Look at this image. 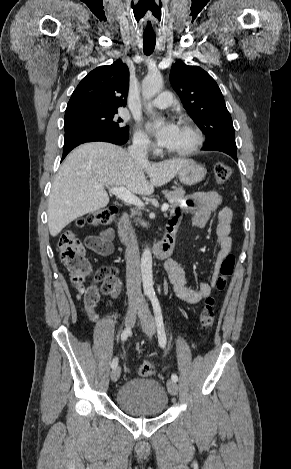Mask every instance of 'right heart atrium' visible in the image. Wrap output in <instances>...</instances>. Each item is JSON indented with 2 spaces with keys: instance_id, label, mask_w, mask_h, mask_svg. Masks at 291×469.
I'll list each match as a JSON object with an SVG mask.
<instances>
[{
  "instance_id": "obj_1",
  "label": "right heart atrium",
  "mask_w": 291,
  "mask_h": 469,
  "mask_svg": "<svg viewBox=\"0 0 291 469\" xmlns=\"http://www.w3.org/2000/svg\"><path fill=\"white\" fill-rule=\"evenodd\" d=\"M133 145L141 151H148L153 146L150 138L141 128H136L134 131Z\"/></svg>"
}]
</instances>
